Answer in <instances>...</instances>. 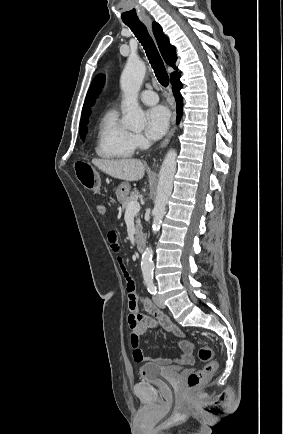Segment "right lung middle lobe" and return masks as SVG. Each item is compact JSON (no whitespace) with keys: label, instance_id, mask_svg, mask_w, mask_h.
Listing matches in <instances>:
<instances>
[{"label":"right lung middle lobe","instance_id":"obj_1","mask_svg":"<svg viewBox=\"0 0 283 434\" xmlns=\"http://www.w3.org/2000/svg\"><path fill=\"white\" fill-rule=\"evenodd\" d=\"M87 123H81L80 124V130H79V134L81 139L85 138V134L87 132V127H86Z\"/></svg>","mask_w":283,"mask_h":434}]
</instances>
